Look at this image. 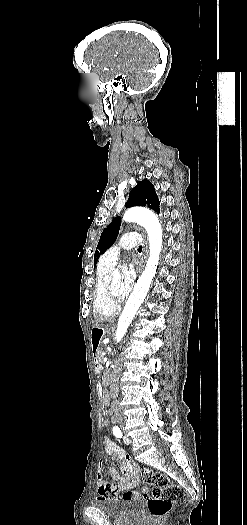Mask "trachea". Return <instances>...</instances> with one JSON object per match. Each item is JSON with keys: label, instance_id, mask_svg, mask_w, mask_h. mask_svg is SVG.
Wrapping results in <instances>:
<instances>
[{"label": "trachea", "instance_id": "1", "mask_svg": "<svg viewBox=\"0 0 247 525\" xmlns=\"http://www.w3.org/2000/svg\"><path fill=\"white\" fill-rule=\"evenodd\" d=\"M137 248H138V249H142V248H143V246H142V245H139V246H138Z\"/></svg>", "mask_w": 247, "mask_h": 525}]
</instances>
